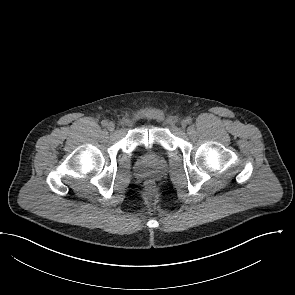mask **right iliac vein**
<instances>
[{"label": "right iliac vein", "instance_id": "right-iliac-vein-1", "mask_svg": "<svg viewBox=\"0 0 295 295\" xmlns=\"http://www.w3.org/2000/svg\"><path fill=\"white\" fill-rule=\"evenodd\" d=\"M107 129L113 131L115 129V124L113 122H108Z\"/></svg>", "mask_w": 295, "mask_h": 295}]
</instances>
